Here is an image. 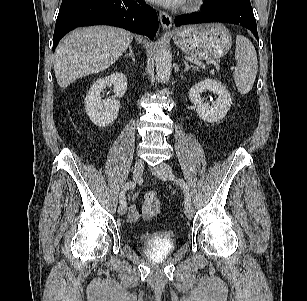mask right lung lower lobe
Instances as JSON below:
<instances>
[{
    "label": "right lung lower lobe",
    "mask_w": 307,
    "mask_h": 301,
    "mask_svg": "<svg viewBox=\"0 0 307 301\" xmlns=\"http://www.w3.org/2000/svg\"><path fill=\"white\" fill-rule=\"evenodd\" d=\"M106 24L153 39L158 29L156 11L142 0H62L53 36V51L69 31Z\"/></svg>",
    "instance_id": "right-lung-lower-lobe-1"
}]
</instances>
